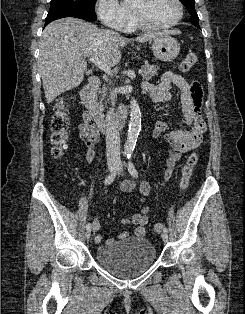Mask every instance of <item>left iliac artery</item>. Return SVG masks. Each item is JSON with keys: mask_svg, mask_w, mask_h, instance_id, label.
<instances>
[{"mask_svg": "<svg viewBox=\"0 0 245 314\" xmlns=\"http://www.w3.org/2000/svg\"><path fill=\"white\" fill-rule=\"evenodd\" d=\"M131 157H132L131 154L127 155V158H128V171H129V173L131 174V176H133V177H138V172H137V170H136L134 164H133L132 161H131ZM163 231H164V232H168V229L165 227V228L163 229Z\"/></svg>", "mask_w": 245, "mask_h": 314, "instance_id": "left-iliac-artery-1", "label": "left iliac artery"}]
</instances>
